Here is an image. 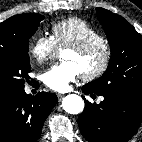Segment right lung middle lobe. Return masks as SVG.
Segmentation results:
<instances>
[{
	"mask_svg": "<svg viewBox=\"0 0 142 142\" xmlns=\"http://www.w3.org/2000/svg\"><path fill=\"white\" fill-rule=\"evenodd\" d=\"M42 20L40 14H23L14 31H0V93L13 95L29 82V39Z\"/></svg>",
	"mask_w": 142,
	"mask_h": 142,
	"instance_id": "1",
	"label": "right lung middle lobe"
}]
</instances>
